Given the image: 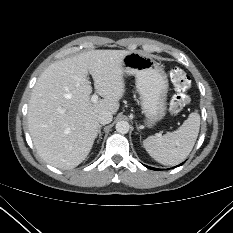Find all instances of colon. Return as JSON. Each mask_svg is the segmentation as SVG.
I'll list each match as a JSON object with an SVG mask.
<instances>
[{"mask_svg": "<svg viewBox=\"0 0 233 233\" xmlns=\"http://www.w3.org/2000/svg\"><path fill=\"white\" fill-rule=\"evenodd\" d=\"M169 77L176 91L170 100V111L173 114H178L189 102L188 90L191 86V79L190 76L179 67L171 68Z\"/></svg>", "mask_w": 233, "mask_h": 233, "instance_id": "colon-1", "label": "colon"}]
</instances>
